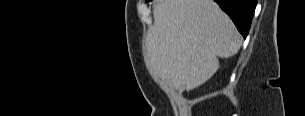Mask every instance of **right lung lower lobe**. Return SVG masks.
Wrapping results in <instances>:
<instances>
[{"mask_svg": "<svg viewBox=\"0 0 305 116\" xmlns=\"http://www.w3.org/2000/svg\"><path fill=\"white\" fill-rule=\"evenodd\" d=\"M230 16L239 32L247 37L257 0H214Z\"/></svg>", "mask_w": 305, "mask_h": 116, "instance_id": "right-lung-lower-lobe-1", "label": "right lung lower lobe"}]
</instances>
